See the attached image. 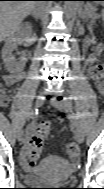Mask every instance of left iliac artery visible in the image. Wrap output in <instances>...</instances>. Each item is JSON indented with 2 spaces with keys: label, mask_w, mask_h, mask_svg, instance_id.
Returning <instances> with one entry per match:
<instances>
[{
  "label": "left iliac artery",
  "mask_w": 104,
  "mask_h": 189,
  "mask_svg": "<svg viewBox=\"0 0 104 189\" xmlns=\"http://www.w3.org/2000/svg\"><path fill=\"white\" fill-rule=\"evenodd\" d=\"M63 100H64L69 106H71V103H70V101H69V99H68L67 97H64Z\"/></svg>",
  "instance_id": "left-iliac-artery-1"
}]
</instances>
